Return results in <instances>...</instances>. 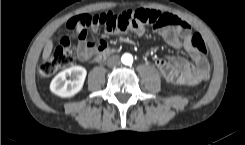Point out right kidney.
Here are the masks:
<instances>
[{
  "label": "right kidney",
  "instance_id": "1",
  "mask_svg": "<svg viewBox=\"0 0 245 145\" xmlns=\"http://www.w3.org/2000/svg\"><path fill=\"white\" fill-rule=\"evenodd\" d=\"M86 75L87 71L84 67L72 66L53 78L50 90L60 97H72L82 89Z\"/></svg>",
  "mask_w": 245,
  "mask_h": 145
}]
</instances>
